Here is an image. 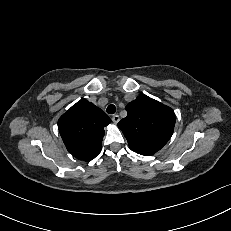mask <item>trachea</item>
Wrapping results in <instances>:
<instances>
[{"mask_svg": "<svg viewBox=\"0 0 231 231\" xmlns=\"http://www.w3.org/2000/svg\"><path fill=\"white\" fill-rule=\"evenodd\" d=\"M108 114H114L116 112V107L113 104H110L106 109Z\"/></svg>", "mask_w": 231, "mask_h": 231, "instance_id": "obj_1", "label": "trachea"}]
</instances>
